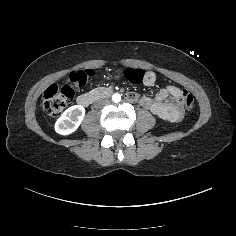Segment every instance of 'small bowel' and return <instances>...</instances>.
I'll return each instance as SVG.
<instances>
[{"instance_id": "obj_1", "label": "small bowel", "mask_w": 236, "mask_h": 236, "mask_svg": "<svg viewBox=\"0 0 236 236\" xmlns=\"http://www.w3.org/2000/svg\"><path fill=\"white\" fill-rule=\"evenodd\" d=\"M153 83H154V79L152 78L151 75H148V77L145 79V84L148 86H151V85H153ZM169 91L174 93L178 97H181L182 91L180 89L175 88V87H171Z\"/></svg>"}]
</instances>
